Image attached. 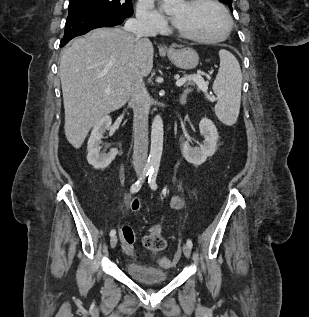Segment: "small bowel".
Here are the masks:
<instances>
[{
  "instance_id": "1",
  "label": "small bowel",
  "mask_w": 309,
  "mask_h": 317,
  "mask_svg": "<svg viewBox=\"0 0 309 317\" xmlns=\"http://www.w3.org/2000/svg\"><path fill=\"white\" fill-rule=\"evenodd\" d=\"M126 202H127V205H130L129 199H127ZM170 205L174 209H181L184 206V200L180 196H174L170 200ZM126 250L128 253H133L132 247H130V248L126 247Z\"/></svg>"
}]
</instances>
